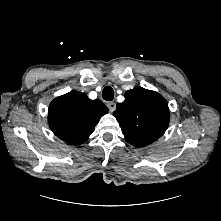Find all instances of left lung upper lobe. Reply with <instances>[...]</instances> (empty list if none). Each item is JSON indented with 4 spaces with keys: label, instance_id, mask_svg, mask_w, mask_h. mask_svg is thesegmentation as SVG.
Segmentation results:
<instances>
[{
    "label": "left lung upper lobe",
    "instance_id": "left-lung-upper-lobe-1",
    "mask_svg": "<svg viewBox=\"0 0 221 221\" xmlns=\"http://www.w3.org/2000/svg\"><path fill=\"white\" fill-rule=\"evenodd\" d=\"M114 111L122 133L133 146L148 145L166 131L169 109L166 100L157 92L135 87L125 94V101Z\"/></svg>",
    "mask_w": 221,
    "mask_h": 221
}]
</instances>
